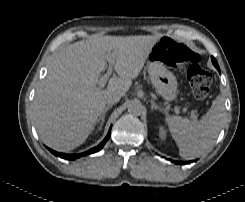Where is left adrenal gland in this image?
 Masks as SVG:
<instances>
[{
    "label": "left adrenal gland",
    "mask_w": 245,
    "mask_h": 202,
    "mask_svg": "<svg viewBox=\"0 0 245 202\" xmlns=\"http://www.w3.org/2000/svg\"><path fill=\"white\" fill-rule=\"evenodd\" d=\"M151 110H159L160 112L163 111V109L157 106L153 100H151Z\"/></svg>",
    "instance_id": "obj_1"
}]
</instances>
